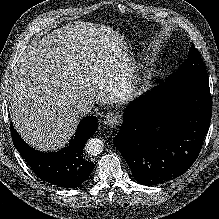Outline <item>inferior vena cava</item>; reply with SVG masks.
Masks as SVG:
<instances>
[{
	"label": "inferior vena cava",
	"instance_id": "602c4592",
	"mask_svg": "<svg viewBox=\"0 0 219 219\" xmlns=\"http://www.w3.org/2000/svg\"><path fill=\"white\" fill-rule=\"evenodd\" d=\"M93 107L94 104L92 101L79 102L75 106V111L79 116L83 117L90 114Z\"/></svg>",
	"mask_w": 219,
	"mask_h": 219
}]
</instances>
